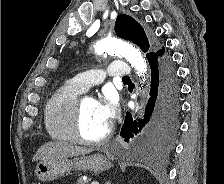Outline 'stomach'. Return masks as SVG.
Listing matches in <instances>:
<instances>
[{"label": "stomach", "instance_id": "obj_1", "mask_svg": "<svg viewBox=\"0 0 224 184\" xmlns=\"http://www.w3.org/2000/svg\"><path fill=\"white\" fill-rule=\"evenodd\" d=\"M111 167L112 163L109 157L97 153L90 156L82 155L73 159L61 158L41 161L36 166L35 175L39 181L49 182L70 173L72 169L100 173Z\"/></svg>", "mask_w": 224, "mask_h": 184}]
</instances>
